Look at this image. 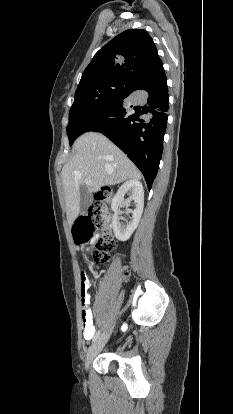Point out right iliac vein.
Returning <instances> with one entry per match:
<instances>
[{
	"label": "right iliac vein",
	"instance_id": "1",
	"mask_svg": "<svg viewBox=\"0 0 233 414\" xmlns=\"http://www.w3.org/2000/svg\"><path fill=\"white\" fill-rule=\"evenodd\" d=\"M111 330L104 333L101 337H99L95 343L88 349V352L86 354V360H85V367L86 369L89 368L90 363L94 359V357L102 350L104 345L109 339Z\"/></svg>",
	"mask_w": 233,
	"mask_h": 414
}]
</instances>
